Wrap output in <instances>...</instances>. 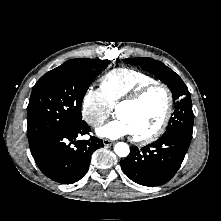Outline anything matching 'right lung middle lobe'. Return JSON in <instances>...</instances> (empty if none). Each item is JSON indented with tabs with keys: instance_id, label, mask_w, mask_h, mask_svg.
<instances>
[{
	"instance_id": "obj_1",
	"label": "right lung middle lobe",
	"mask_w": 221,
	"mask_h": 221,
	"mask_svg": "<svg viewBox=\"0 0 221 221\" xmlns=\"http://www.w3.org/2000/svg\"><path fill=\"white\" fill-rule=\"evenodd\" d=\"M107 60L72 59L43 75L27 107V135L33 147L50 134L82 122L86 91Z\"/></svg>"
}]
</instances>
